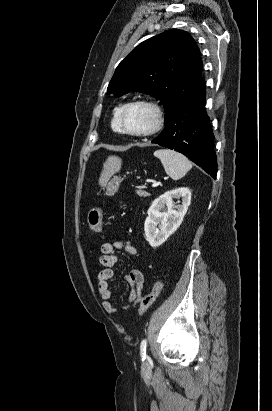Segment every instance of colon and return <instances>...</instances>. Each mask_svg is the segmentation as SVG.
Instances as JSON below:
<instances>
[{
    "label": "colon",
    "instance_id": "5ec220e1",
    "mask_svg": "<svg viewBox=\"0 0 272 411\" xmlns=\"http://www.w3.org/2000/svg\"><path fill=\"white\" fill-rule=\"evenodd\" d=\"M103 216L104 212L101 207H94L90 210L88 215V225L93 233L99 234L102 231ZM162 289L163 283L160 279H157L151 291L138 299L136 305L140 316H142L157 300Z\"/></svg>",
    "mask_w": 272,
    "mask_h": 411
}]
</instances>
